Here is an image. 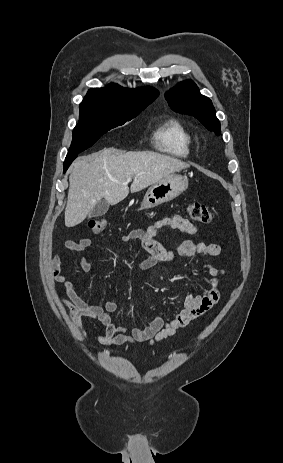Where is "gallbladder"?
Wrapping results in <instances>:
<instances>
[{"label": "gallbladder", "mask_w": 283, "mask_h": 463, "mask_svg": "<svg viewBox=\"0 0 283 463\" xmlns=\"http://www.w3.org/2000/svg\"><path fill=\"white\" fill-rule=\"evenodd\" d=\"M109 203L102 199L96 203L93 209L90 211L88 218L99 217L107 213L109 210Z\"/></svg>", "instance_id": "gallbladder-1"}]
</instances>
